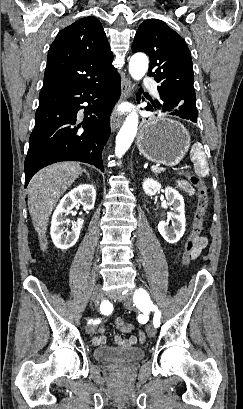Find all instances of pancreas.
<instances>
[{
    "mask_svg": "<svg viewBox=\"0 0 243 409\" xmlns=\"http://www.w3.org/2000/svg\"><path fill=\"white\" fill-rule=\"evenodd\" d=\"M163 171H165V169H164V168H160L159 170H154V173H155V174H159V173H161V172H163Z\"/></svg>",
    "mask_w": 243,
    "mask_h": 409,
    "instance_id": "1",
    "label": "pancreas"
}]
</instances>
